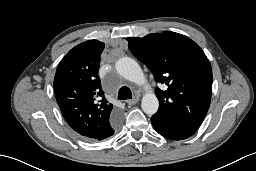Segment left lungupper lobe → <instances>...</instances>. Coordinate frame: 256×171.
I'll use <instances>...</instances> for the list:
<instances>
[{"instance_id": "1", "label": "left lung upper lobe", "mask_w": 256, "mask_h": 171, "mask_svg": "<svg viewBox=\"0 0 256 171\" xmlns=\"http://www.w3.org/2000/svg\"><path fill=\"white\" fill-rule=\"evenodd\" d=\"M127 40L134 56L167 88L155 90L160 102L155 116L195 133L208 111L212 90V69L202 49L187 36L170 31Z\"/></svg>"}]
</instances>
